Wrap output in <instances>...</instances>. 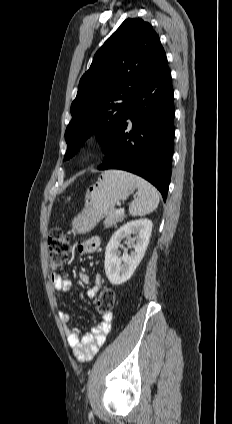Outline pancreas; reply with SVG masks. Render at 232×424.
<instances>
[{
    "label": "pancreas",
    "mask_w": 232,
    "mask_h": 424,
    "mask_svg": "<svg viewBox=\"0 0 232 424\" xmlns=\"http://www.w3.org/2000/svg\"><path fill=\"white\" fill-rule=\"evenodd\" d=\"M124 217L123 214H118L117 210H113L111 211L105 218L104 220V226L105 228H109L112 227L113 225H115L117 222H120L121 219Z\"/></svg>",
    "instance_id": "pancreas-1"
}]
</instances>
